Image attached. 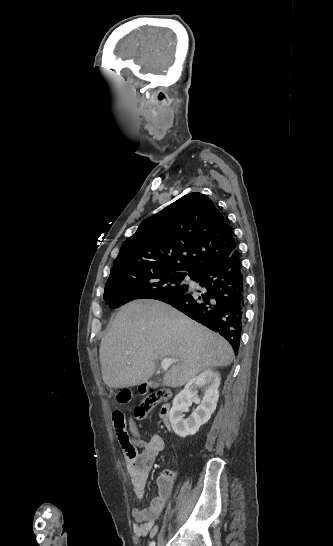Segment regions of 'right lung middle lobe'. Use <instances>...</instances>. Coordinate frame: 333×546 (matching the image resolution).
I'll return each mask as SVG.
<instances>
[{
    "instance_id": "dd1d6c3e",
    "label": "right lung middle lobe",
    "mask_w": 333,
    "mask_h": 546,
    "mask_svg": "<svg viewBox=\"0 0 333 546\" xmlns=\"http://www.w3.org/2000/svg\"><path fill=\"white\" fill-rule=\"evenodd\" d=\"M186 275L136 267L117 268L111 270L103 297L111 308H118L134 299L186 294L188 286L181 284ZM189 276L195 280V276Z\"/></svg>"
}]
</instances>
